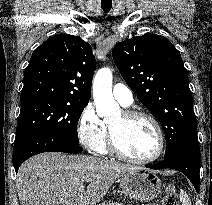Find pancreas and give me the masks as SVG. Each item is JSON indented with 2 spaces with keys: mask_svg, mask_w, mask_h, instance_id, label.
Here are the masks:
<instances>
[{
  "mask_svg": "<svg viewBox=\"0 0 212 205\" xmlns=\"http://www.w3.org/2000/svg\"><path fill=\"white\" fill-rule=\"evenodd\" d=\"M101 205H122L120 203H102Z\"/></svg>",
  "mask_w": 212,
  "mask_h": 205,
  "instance_id": "1",
  "label": "pancreas"
}]
</instances>
